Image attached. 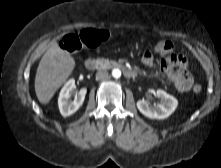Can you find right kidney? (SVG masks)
Returning a JSON list of instances; mask_svg holds the SVG:
<instances>
[{
  "label": "right kidney",
  "mask_w": 221,
  "mask_h": 168,
  "mask_svg": "<svg viewBox=\"0 0 221 168\" xmlns=\"http://www.w3.org/2000/svg\"><path fill=\"white\" fill-rule=\"evenodd\" d=\"M75 89H76L75 80L70 79L69 81H67V83L63 86V88L60 91L58 98V106L60 113L63 117H67L74 114L82 106L84 102L85 95L87 93L86 88H82L76 94L75 99L73 101L70 100V97Z\"/></svg>",
  "instance_id": "ca27d5eb"
}]
</instances>
